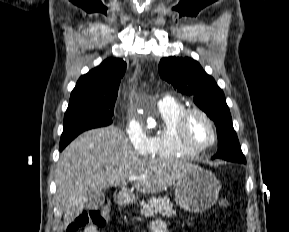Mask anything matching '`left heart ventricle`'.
Wrapping results in <instances>:
<instances>
[{
    "label": "left heart ventricle",
    "instance_id": "left-heart-ventricle-1",
    "mask_svg": "<svg viewBox=\"0 0 289 232\" xmlns=\"http://www.w3.org/2000/svg\"><path fill=\"white\" fill-rule=\"evenodd\" d=\"M187 136L195 145H204L211 140L210 126L200 115L194 114L188 120Z\"/></svg>",
    "mask_w": 289,
    "mask_h": 232
}]
</instances>
